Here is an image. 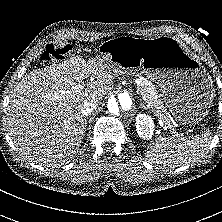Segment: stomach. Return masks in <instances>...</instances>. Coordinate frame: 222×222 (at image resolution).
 Returning <instances> with one entry per match:
<instances>
[{"label": "stomach", "mask_w": 222, "mask_h": 222, "mask_svg": "<svg viewBox=\"0 0 222 222\" xmlns=\"http://www.w3.org/2000/svg\"><path fill=\"white\" fill-rule=\"evenodd\" d=\"M95 60L125 74L143 69L160 86L166 106L183 124L203 120L213 103L211 76L174 37L109 39L100 44Z\"/></svg>", "instance_id": "0dacf381"}]
</instances>
